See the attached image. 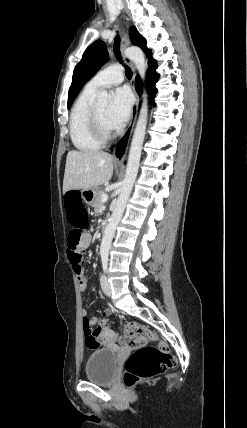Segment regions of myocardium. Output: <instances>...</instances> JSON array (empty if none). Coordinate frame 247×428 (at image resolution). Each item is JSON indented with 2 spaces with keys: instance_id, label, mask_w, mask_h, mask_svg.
Masks as SVG:
<instances>
[{
  "instance_id": "f54148a6",
  "label": "myocardium",
  "mask_w": 247,
  "mask_h": 428,
  "mask_svg": "<svg viewBox=\"0 0 247 428\" xmlns=\"http://www.w3.org/2000/svg\"><path fill=\"white\" fill-rule=\"evenodd\" d=\"M89 124L94 136L102 143H105L114 137V133L112 130H106L101 125L97 114L96 106H93L91 109Z\"/></svg>"
}]
</instances>
